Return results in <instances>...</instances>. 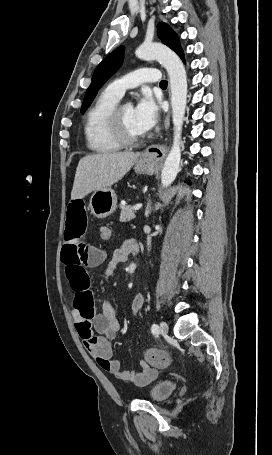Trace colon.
<instances>
[{
  "mask_svg": "<svg viewBox=\"0 0 272 455\" xmlns=\"http://www.w3.org/2000/svg\"><path fill=\"white\" fill-rule=\"evenodd\" d=\"M99 233L100 238L103 242H108L110 240L112 233L108 226L105 225L101 226ZM144 357L149 364L153 365H167L170 362L169 356L159 349L146 350Z\"/></svg>",
  "mask_w": 272,
  "mask_h": 455,
  "instance_id": "obj_1",
  "label": "colon"
}]
</instances>
